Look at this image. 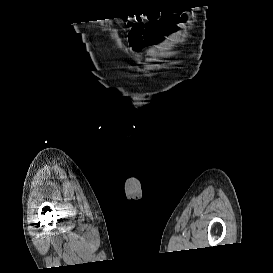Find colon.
Returning <instances> with one entry per match:
<instances>
[{"label":"colon","mask_w":273,"mask_h":273,"mask_svg":"<svg viewBox=\"0 0 273 273\" xmlns=\"http://www.w3.org/2000/svg\"><path fill=\"white\" fill-rule=\"evenodd\" d=\"M149 26L143 22H138L132 25L130 29V38L134 42L140 41L144 36L149 34Z\"/></svg>","instance_id":"obj_1"}]
</instances>
